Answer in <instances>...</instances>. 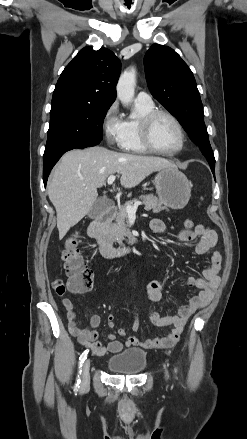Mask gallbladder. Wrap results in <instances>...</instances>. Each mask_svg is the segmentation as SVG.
Here are the masks:
<instances>
[{
    "label": "gallbladder",
    "instance_id": "bac80fb5",
    "mask_svg": "<svg viewBox=\"0 0 247 439\" xmlns=\"http://www.w3.org/2000/svg\"><path fill=\"white\" fill-rule=\"evenodd\" d=\"M106 210V200L104 198H98L92 208L90 209L88 216L90 218H96Z\"/></svg>",
    "mask_w": 247,
    "mask_h": 439
}]
</instances>
